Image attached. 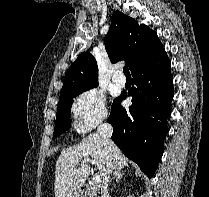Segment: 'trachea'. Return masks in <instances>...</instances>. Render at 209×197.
I'll return each mask as SVG.
<instances>
[{
	"label": "trachea",
	"mask_w": 209,
	"mask_h": 197,
	"mask_svg": "<svg viewBox=\"0 0 209 197\" xmlns=\"http://www.w3.org/2000/svg\"><path fill=\"white\" fill-rule=\"evenodd\" d=\"M123 72L126 77H131L130 72H129V68L127 66L123 67Z\"/></svg>",
	"instance_id": "trachea-1"
}]
</instances>
